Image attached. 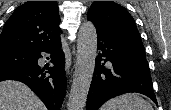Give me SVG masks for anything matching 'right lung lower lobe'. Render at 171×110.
I'll list each match as a JSON object with an SVG mask.
<instances>
[{
	"instance_id": "98d812e1",
	"label": "right lung lower lobe",
	"mask_w": 171,
	"mask_h": 110,
	"mask_svg": "<svg viewBox=\"0 0 171 110\" xmlns=\"http://www.w3.org/2000/svg\"><path fill=\"white\" fill-rule=\"evenodd\" d=\"M41 52L51 55V65H39ZM35 61L25 67L0 71V81L17 80L28 85L48 110H60L66 92L65 56L60 40L35 52Z\"/></svg>"
}]
</instances>
